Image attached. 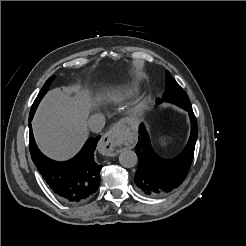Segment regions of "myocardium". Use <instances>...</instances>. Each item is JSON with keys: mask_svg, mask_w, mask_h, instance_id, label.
Segmentation results:
<instances>
[{"mask_svg": "<svg viewBox=\"0 0 246 246\" xmlns=\"http://www.w3.org/2000/svg\"><path fill=\"white\" fill-rule=\"evenodd\" d=\"M144 109H145L144 101L139 100L133 104L131 110L134 114L138 115L141 114L144 111Z\"/></svg>", "mask_w": 246, "mask_h": 246, "instance_id": "1", "label": "myocardium"}]
</instances>
